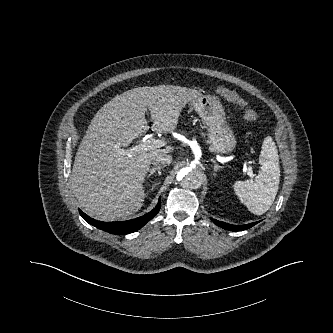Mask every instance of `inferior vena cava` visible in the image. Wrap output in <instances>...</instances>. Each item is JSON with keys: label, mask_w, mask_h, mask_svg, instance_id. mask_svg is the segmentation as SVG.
I'll use <instances>...</instances> for the list:
<instances>
[{"label": "inferior vena cava", "mask_w": 333, "mask_h": 333, "mask_svg": "<svg viewBox=\"0 0 333 333\" xmlns=\"http://www.w3.org/2000/svg\"><path fill=\"white\" fill-rule=\"evenodd\" d=\"M172 162L171 155L158 154L152 158V163L155 165H169Z\"/></svg>", "instance_id": "1"}]
</instances>
